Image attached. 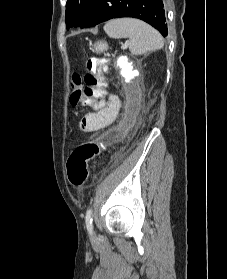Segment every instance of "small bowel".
<instances>
[{"instance_id":"small-bowel-1","label":"small bowel","mask_w":227,"mask_h":279,"mask_svg":"<svg viewBox=\"0 0 227 279\" xmlns=\"http://www.w3.org/2000/svg\"><path fill=\"white\" fill-rule=\"evenodd\" d=\"M122 106L117 94L109 93L107 99L95 103L96 110L85 115L80 121L84 132L98 133L110 127L116 120Z\"/></svg>"}]
</instances>
